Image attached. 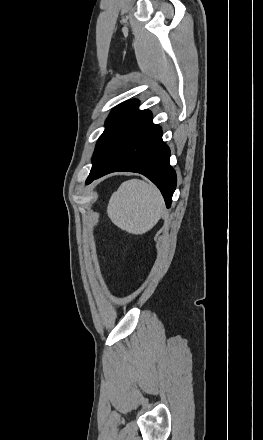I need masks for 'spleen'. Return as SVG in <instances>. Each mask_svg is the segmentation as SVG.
Masks as SVG:
<instances>
[{
    "label": "spleen",
    "instance_id": "3e777b00",
    "mask_svg": "<svg viewBox=\"0 0 263 440\" xmlns=\"http://www.w3.org/2000/svg\"><path fill=\"white\" fill-rule=\"evenodd\" d=\"M164 209L163 197L155 185L130 179L111 195L107 214L120 229L138 235L152 229Z\"/></svg>",
    "mask_w": 263,
    "mask_h": 440
}]
</instances>
